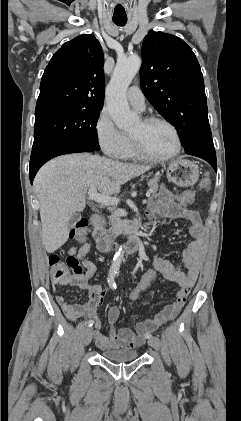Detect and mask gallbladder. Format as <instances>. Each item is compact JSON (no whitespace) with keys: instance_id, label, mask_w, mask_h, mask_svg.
Wrapping results in <instances>:
<instances>
[{"instance_id":"1","label":"gallbladder","mask_w":241,"mask_h":421,"mask_svg":"<svg viewBox=\"0 0 241 421\" xmlns=\"http://www.w3.org/2000/svg\"><path fill=\"white\" fill-rule=\"evenodd\" d=\"M79 218H80V215H79V214H77V213H74V214L71 216V218H70V220H69V228H70V229L74 227V225H75V224H76V222L79 220Z\"/></svg>"}]
</instances>
